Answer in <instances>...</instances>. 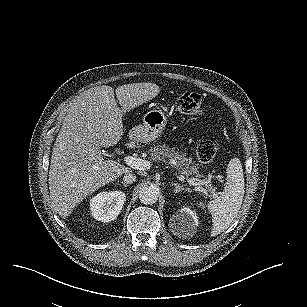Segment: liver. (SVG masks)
I'll return each mask as SVG.
<instances>
[{"instance_id": "liver-1", "label": "liver", "mask_w": 307, "mask_h": 307, "mask_svg": "<svg viewBox=\"0 0 307 307\" xmlns=\"http://www.w3.org/2000/svg\"><path fill=\"white\" fill-rule=\"evenodd\" d=\"M153 83L93 87L78 96L69 106L52 148L49 167L50 199L62 217L84 196L113 181L128 167L105 160L102 147L116 144L122 134V109L128 110L158 94Z\"/></svg>"}]
</instances>
